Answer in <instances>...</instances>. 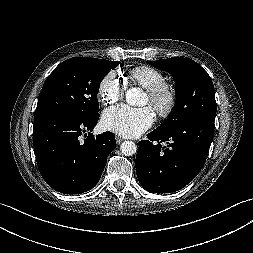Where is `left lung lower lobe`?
<instances>
[{
    "instance_id": "left-lung-lower-lobe-1",
    "label": "left lung lower lobe",
    "mask_w": 253,
    "mask_h": 253,
    "mask_svg": "<svg viewBox=\"0 0 253 253\" xmlns=\"http://www.w3.org/2000/svg\"><path fill=\"white\" fill-rule=\"evenodd\" d=\"M214 135V118L199 116L169 132L155 129L139 142L136 173L151 193H171L190 183L202 169ZM161 143H165L163 146Z\"/></svg>"
}]
</instances>
